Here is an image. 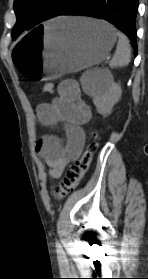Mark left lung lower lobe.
<instances>
[{"instance_id":"0a47b994","label":"left lung lower lobe","mask_w":148,"mask_h":279,"mask_svg":"<svg viewBox=\"0 0 148 279\" xmlns=\"http://www.w3.org/2000/svg\"><path fill=\"white\" fill-rule=\"evenodd\" d=\"M138 0H73L59 15H81L104 19L131 40L137 54L136 15Z\"/></svg>"}]
</instances>
